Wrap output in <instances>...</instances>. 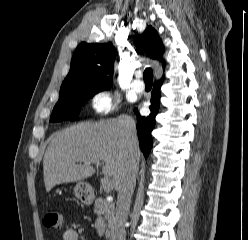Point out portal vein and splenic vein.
<instances>
[{
    "label": "portal vein and splenic vein",
    "mask_w": 248,
    "mask_h": 240,
    "mask_svg": "<svg viewBox=\"0 0 248 240\" xmlns=\"http://www.w3.org/2000/svg\"><path fill=\"white\" fill-rule=\"evenodd\" d=\"M85 162L95 164L96 166L100 165V162L98 160L86 159ZM112 184H113V181L110 178L108 177L103 178L102 186L106 193H109L112 190Z\"/></svg>",
    "instance_id": "obj_1"
}]
</instances>
